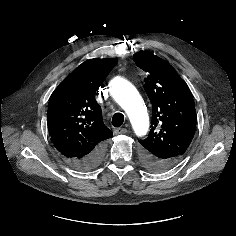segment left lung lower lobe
<instances>
[{"label": "left lung lower lobe", "instance_id": "1", "mask_svg": "<svg viewBox=\"0 0 236 236\" xmlns=\"http://www.w3.org/2000/svg\"><path fill=\"white\" fill-rule=\"evenodd\" d=\"M175 163H176L175 160H170V159L164 160L162 162V165H161L162 170L160 172L165 171V170L171 168L172 166H174Z\"/></svg>", "mask_w": 236, "mask_h": 236}]
</instances>
